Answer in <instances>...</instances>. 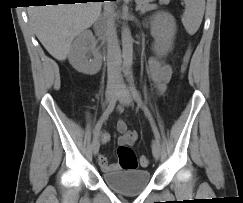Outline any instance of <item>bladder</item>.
Masks as SVG:
<instances>
[{"mask_svg":"<svg viewBox=\"0 0 243 203\" xmlns=\"http://www.w3.org/2000/svg\"><path fill=\"white\" fill-rule=\"evenodd\" d=\"M104 183L120 194H136L146 189L151 174L147 169L116 170L102 175Z\"/></svg>","mask_w":243,"mask_h":203,"instance_id":"1","label":"bladder"}]
</instances>
